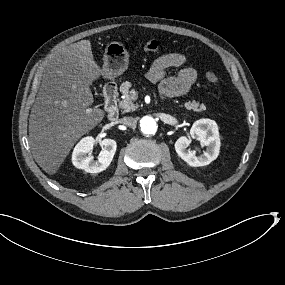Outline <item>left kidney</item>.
I'll return each instance as SVG.
<instances>
[{
    "instance_id": "1",
    "label": "left kidney",
    "mask_w": 285,
    "mask_h": 285,
    "mask_svg": "<svg viewBox=\"0 0 285 285\" xmlns=\"http://www.w3.org/2000/svg\"><path fill=\"white\" fill-rule=\"evenodd\" d=\"M190 135L200 141L201 145L207 147L202 155L196 156L190 149H187L191 139L182 136L176 141L177 154L190 166H205L218 157L221 143L218 125L214 120L203 118L195 121L190 129Z\"/></svg>"
}]
</instances>
